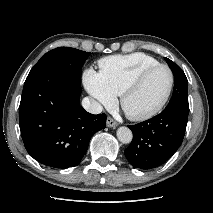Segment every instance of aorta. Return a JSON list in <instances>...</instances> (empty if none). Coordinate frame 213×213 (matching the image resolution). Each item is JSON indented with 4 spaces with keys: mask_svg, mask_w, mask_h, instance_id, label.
Returning <instances> with one entry per match:
<instances>
[{
    "mask_svg": "<svg viewBox=\"0 0 213 213\" xmlns=\"http://www.w3.org/2000/svg\"><path fill=\"white\" fill-rule=\"evenodd\" d=\"M117 138L123 144H128L133 139L132 131L125 126L119 127L117 130Z\"/></svg>",
    "mask_w": 213,
    "mask_h": 213,
    "instance_id": "762f6f07",
    "label": "aorta"
}]
</instances>
